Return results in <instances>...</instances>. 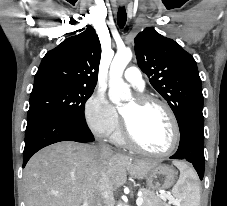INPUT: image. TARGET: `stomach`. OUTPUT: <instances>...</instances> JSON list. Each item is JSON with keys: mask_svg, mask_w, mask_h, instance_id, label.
I'll return each instance as SVG.
<instances>
[{"mask_svg": "<svg viewBox=\"0 0 227 206\" xmlns=\"http://www.w3.org/2000/svg\"><path fill=\"white\" fill-rule=\"evenodd\" d=\"M176 171L173 167L158 163L146 175V181L154 190H166L172 187L176 181Z\"/></svg>", "mask_w": 227, "mask_h": 206, "instance_id": "1", "label": "stomach"}]
</instances>
